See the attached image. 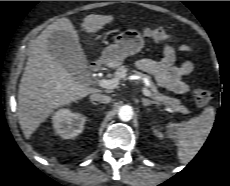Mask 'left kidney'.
Instances as JSON below:
<instances>
[{
  "label": "left kidney",
  "instance_id": "5707ae66",
  "mask_svg": "<svg viewBox=\"0 0 230 186\" xmlns=\"http://www.w3.org/2000/svg\"><path fill=\"white\" fill-rule=\"evenodd\" d=\"M153 132L157 137L163 138V134L158 129H154Z\"/></svg>",
  "mask_w": 230,
  "mask_h": 186
}]
</instances>
